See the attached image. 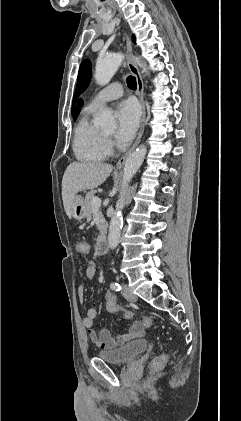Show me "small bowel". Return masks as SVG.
Here are the masks:
<instances>
[{
    "label": "small bowel",
    "instance_id": "c3829d8e",
    "mask_svg": "<svg viewBox=\"0 0 241 421\" xmlns=\"http://www.w3.org/2000/svg\"><path fill=\"white\" fill-rule=\"evenodd\" d=\"M97 272V265L93 261L88 263L86 268V276L88 278H93ZM85 288L83 285H80L77 290V295L80 301L84 299ZM97 315V310L94 307H89L87 309L86 315L82 320L83 326L87 329V336L90 341L100 349H113L119 346L124 345L125 343L138 339L145 334L146 325L140 321H135L132 323L128 331L112 335L108 329H101L99 332H96L92 327L94 320Z\"/></svg>",
    "mask_w": 241,
    "mask_h": 421
}]
</instances>
